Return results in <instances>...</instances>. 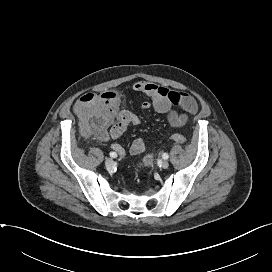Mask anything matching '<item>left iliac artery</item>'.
Returning a JSON list of instances; mask_svg holds the SVG:
<instances>
[{
  "instance_id": "left-iliac-artery-1",
  "label": "left iliac artery",
  "mask_w": 272,
  "mask_h": 272,
  "mask_svg": "<svg viewBox=\"0 0 272 272\" xmlns=\"http://www.w3.org/2000/svg\"><path fill=\"white\" fill-rule=\"evenodd\" d=\"M162 157H163V159H168V158H169V155H168L167 153H164V154L162 155Z\"/></svg>"
}]
</instances>
